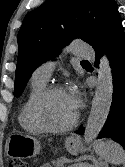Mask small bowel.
I'll list each match as a JSON object with an SVG mask.
<instances>
[{"mask_svg":"<svg viewBox=\"0 0 125 167\" xmlns=\"http://www.w3.org/2000/svg\"><path fill=\"white\" fill-rule=\"evenodd\" d=\"M41 167H52L51 165H49V164H44L43 166H41Z\"/></svg>","mask_w":125,"mask_h":167,"instance_id":"c3829d8e","label":"small bowel"}]
</instances>
